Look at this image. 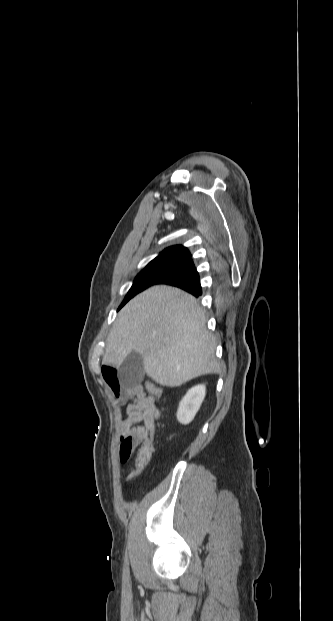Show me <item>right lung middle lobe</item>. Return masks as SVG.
<instances>
[{"instance_id":"1","label":"right lung middle lobe","mask_w":333,"mask_h":621,"mask_svg":"<svg viewBox=\"0 0 333 621\" xmlns=\"http://www.w3.org/2000/svg\"><path fill=\"white\" fill-rule=\"evenodd\" d=\"M187 259L167 258L151 261L136 277L119 309L133 296L180 268Z\"/></svg>"}]
</instances>
